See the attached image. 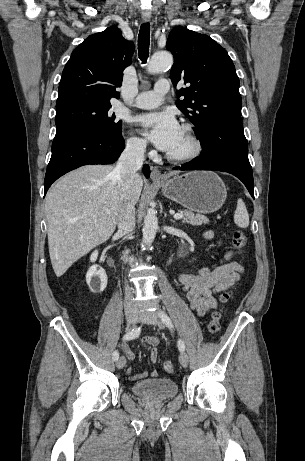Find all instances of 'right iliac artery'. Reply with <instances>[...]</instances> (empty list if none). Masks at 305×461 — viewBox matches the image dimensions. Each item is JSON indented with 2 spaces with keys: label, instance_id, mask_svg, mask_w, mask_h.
I'll use <instances>...</instances> for the list:
<instances>
[{
  "label": "right iliac artery",
  "instance_id": "right-iliac-artery-1",
  "mask_svg": "<svg viewBox=\"0 0 305 461\" xmlns=\"http://www.w3.org/2000/svg\"><path fill=\"white\" fill-rule=\"evenodd\" d=\"M140 334V327L137 328H133L131 331L127 332L124 336H123V340L124 341H128V340H132V339H135L136 337H138ZM119 358V353L118 351H114L113 353V359L114 360H118Z\"/></svg>",
  "mask_w": 305,
  "mask_h": 461
}]
</instances>
